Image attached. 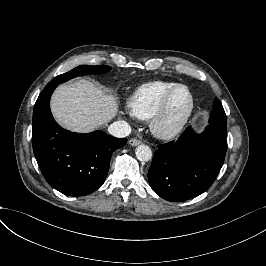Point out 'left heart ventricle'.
<instances>
[{
	"label": "left heart ventricle",
	"mask_w": 266,
	"mask_h": 266,
	"mask_svg": "<svg viewBox=\"0 0 266 266\" xmlns=\"http://www.w3.org/2000/svg\"><path fill=\"white\" fill-rule=\"evenodd\" d=\"M191 107V98L185 88H179L169 102L168 108L160 120L164 130L176 128L187 116Z\"/></svg>",
	"instance_id": "1"
}]
</instances>
